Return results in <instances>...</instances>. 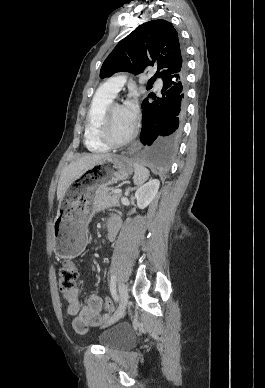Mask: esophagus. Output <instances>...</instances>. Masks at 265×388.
<instances>
[{
	"mask_svg": "<svg viewBox=\"0 0 265 388\" xmlns=\"http://www.w3.org/2000/svg\"><path fill=\"white\" fill-rule=\"evenodd\" d=\"M141 143L140 142H136V143H133V145H131L129 148H128V154L129 155H133L136 151H138L140 148H141Z\"/></svg>",
	"mask_w": 265,
	"mask_h": 388,
	"instance_id": "34e87169",
	"label": "esophagus"
}]
</instances>
